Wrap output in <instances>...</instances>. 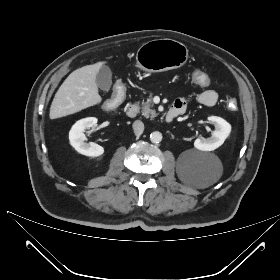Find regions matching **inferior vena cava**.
Listing matches in <instances>:
<instances>
[{
	"label": "inferior vena cava",
	"instance_id": "1",
	"mask_svg": "<svg viewBox=\"0 0 280 280\" xmlns=\"http://www.w3.org/2000/svg\"><path fill=\"white\" fill-rule=\"evenodd\" d=\"M132 127L136 136H140L144 131V124L140 120L134 121Z\"/></svg>",
	"mask_w": 280,
	"mask_h": 280
}]
</instances>
